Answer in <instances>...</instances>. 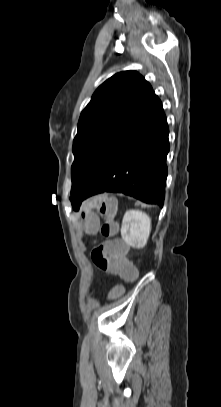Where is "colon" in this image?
Segmentation results:
<instances>
[{
    "label": "colon",
    "instance_id": "5ec220e1",
    "mask_svg": "<svg viewBox=\"0 0 221 407\" xmlns=\"http://www.w3.org/2000/svg\"><path fill=\"white\" fill-rule=\"evenodd\" d=\"M93 210H97L103 217L104 223L100 226V232L103 236L112 239H104L103 244L94 248L92 251V260L101 270L117 274L118 279L124 282H117L115 286L107 292L105 301L108 304H116L123 294L128 292L127 284H136L138 282V266L133 265L126 255L128 245L120 239H113L119 231V226L115 221L117 213L116 201L106 196H95L88 201L81 210V218L84 222L85 231L89 236H94L99 230V223Z\"/></svg>",
    "mask_w": 221,
    "mask_h": 407
}]
</instances>
